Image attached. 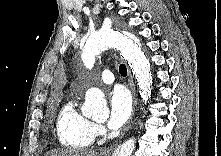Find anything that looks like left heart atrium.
I'll use <instances>...</instances> for the list:
<instances>
[{
	"label": "left heart atrium",
	"instance_id": "left-heart-atrium-1",
	"mask_svg": "<svg viewBox=\"0 0 221 156\" xmlns=\"http://www.w3.org/2000/svg\"><path fill=\"white\" fill-rule=\"evenodd\" d=\"M109 107L108 127L117 130L128 121L132 112L129 92L123 87H115L109 95Z\"/></svg>",
	"mask_w": 221,
	"mask_h": 156
}]
</instances>
